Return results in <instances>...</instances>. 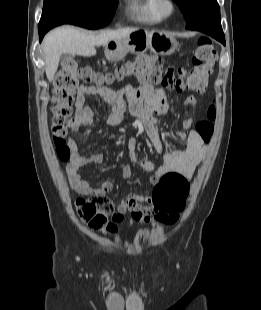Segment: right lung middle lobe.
<instances>
[{"instance_id":"right-lung-middle-lobe-1","label":"right lung middle lobe","mask_w":261,"mask_h":310,"mask_svg":"<svg viewBox=\"0 0 261 310\" xmlns=\"http://www.w3.org/2000/svg\"><path fill=\"white\" fill-rule=\"evenodd\" d=\"M117 0H44L38 28L74 24L98 29L110 23Z\"/></svg>"}]
</instances>
